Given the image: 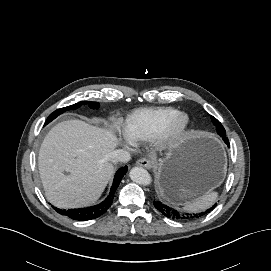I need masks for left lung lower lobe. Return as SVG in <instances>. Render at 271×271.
<instances>
[{
    "instance_id": "obj_1",
    "label": "left lung lower lobe",
    "mask_w": 271,
    "mask_h": 271,
    "mask_svg": "<svg viewBox=\"0 0 271 271\" xmlns=\"http://www.w3.org/2000/svg\"><path fill=\"white\" fill-rule=\"evenodd\" d=\"M224 142L229 146V141L228 138L225 136V134L222 136ZM154 206L156 207L157 210H159L164 216L170 218V219H175V220H192V219H197L205 214L209 213L215 206L216 203L207 209L204 212L196 213V214H190V213H181L178 212L177 210L161 203L160 201H154Z\"/></svg>"
}]
</instances>
